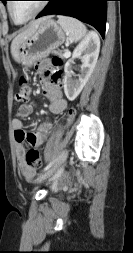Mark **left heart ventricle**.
<instances>
[{
    "mask_svg": "<svg viewBox=\"0 0 133 253\" xmlns=\"http://www.w3.org/2000/svg\"><path fill=\"white\" fill-rule=\"evenodd\" d=\"M40 1H13L11 9L14 18L22 21L32 15L40 5Z\"/></svg>",
    "mask_w": 133,
    "mask_h": 253,
    "instance_id": "1",
    "label": "left heart ventricle"
}]
</instances>
